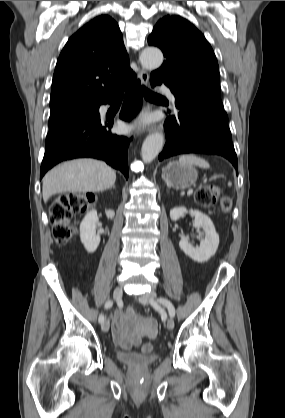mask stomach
<instances>
[{"instance_id": "stomach-1", "label": "stomach", "mask_w": 285, "mask_h": 418, "mask_svg": "<svg viewBox=\"0 0 285 418\" xmlns=\"http://www.w3.org/2000/svg\"><path fill=\"white\" fill-rule=\"evenodd\" d=\"M198 177L194 166L181 165L177 161L169 162L162 169V179L165 183L175 189H186L193 185Z\"/></svg>"}]
</instances>
